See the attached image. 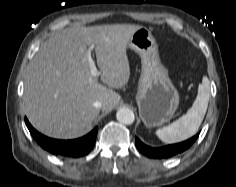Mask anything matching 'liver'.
Returning <instances> with one entry per match:
<instances>
[{"instance_id":"liver-1","label":"liver","mask_w":236,"mask_h":187,"mask_svg":"<svg viewBox=\"0 0 236 187\" xmlns=\"http://www.w3.org/2000/svg\"><path fill=\"white\" fill-rule=\"evenodd\" d=\"M140 25L74 26L52 35L31 61L25 75L24 101L31 124L41 133L61 139L86 134L100 108L112 111L130 77L127 45ZM92 47L102 85L91 76L87 50Z\"/></svg>"}]
</instances>
